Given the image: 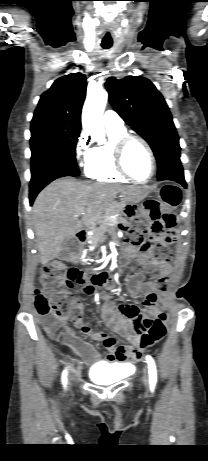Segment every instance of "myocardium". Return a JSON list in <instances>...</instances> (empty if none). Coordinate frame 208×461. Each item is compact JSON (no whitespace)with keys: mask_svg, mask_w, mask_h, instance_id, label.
I'll return each instance as SVG.
<instances>
[{"mask_svg":"<svg viewBox=\"0 0 208 461\" xmlns=\"http://www.w3.org/2000/svg\"><path fill=\"white\" fill-rule=\"evenodd\" d=\"M134 141L141 143L147 150L149 157H150L151 172L148 178L145 180H138L137 178L132 176L130 172L127 170L126 165H125V154H126L127 148ZM113 152H114V163H115L116 169L121 175H123L127 179L135 183H138V184H146L150 182L152 178L154 177L156 173V169H157L156 158H155L153 149L151 148L150 144L143 137L139 135H134V134H126L115 142L114 147H113Z\"/></svg>","mask_w":208,"mask_h":461,"instance_id":"1","label":"myocardium"}]
</instances>
